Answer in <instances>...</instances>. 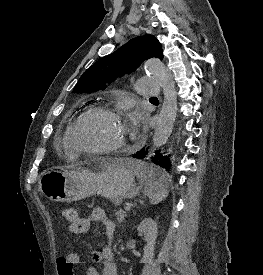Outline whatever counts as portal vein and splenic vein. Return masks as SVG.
I'll list each match as a JSON object with an SVG mask.
<instances>
[{"label": "portal vein and splenic vein", "instance_id": "portal-vein-and-splenic-vein-1", "mask_svg": "<svg viewBox=\"0 0 263 275\" xmlns=\"http://www.w3.org/2000/svg\"><path fill=\"white\" fill-rule=\"evenodd\" d=\"M131 207L130 206H126L125 207V211H130Z\"/></svg>", "mask_w": 263, "mask_h": 275}]
</instances>
